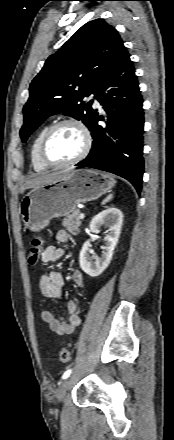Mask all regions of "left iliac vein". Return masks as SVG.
<instances>
[{"instance_id": "4c4485c4", "label": "left iliac vein", "mask_w": 174, "mask_h": 440, "mask_svg": "<svg viewBox=\"0 0 174 440\" xmlns=\"http://www.w3.org/2000/svg\"><path fill=\"white\" fill-rule=\"evenodd\" d=\"M71 385V379L70 378H66L62 384L60 385V387L58 388L57 391V399L59 402H61L66 394V392L68 391V389L70 388Z\"/></svg>"}]
</instances>
